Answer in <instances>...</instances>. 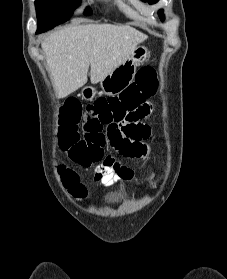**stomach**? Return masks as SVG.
Returning <instances> with one entry per match:
<instances>
[{"label":"stomach","mask_w":227,"mask_h":279,"mask_svg":"<svg viewBox=\"0 0 227 279\" xmlns=\"http://www.w3.org/2000/svg\"><path fill=\"white\" fill-rule=\"evenodd\" d=\"M149 57L148 47L137 45L123 63L100 81L102 92L110 96L120 94L132 83L136 68L144 64ZM95 95L96 89L92 86H86L81 91V96L85 100H92Z\"/></svg>","instance_id":"obj_1"}]
</instances>
